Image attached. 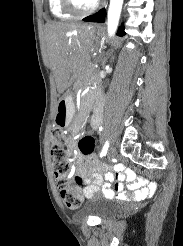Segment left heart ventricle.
<instances>
[{
  "label": "left heart ventricle",
  "instance_id": "b2bd125f",
  "mask_svg": "<svg viewBox=\"0 0 183 246\" xmlns=\"http://www.w3.org/2000/svg\"><path fill=\"white\" fill-rule=\"evenodd\" d=\"M75 1H76V3L78 4L79 7L87 8L90 5H92L93 2L96 1V0H75Z\"/></svg>",
  "mask_w": 183,
  "mask_h": 246
}]
</instances>
